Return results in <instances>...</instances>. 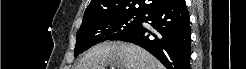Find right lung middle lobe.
Listing matches in <instances>:
<instances>
[{"label": "right lung middle lobe", "instance_id": "right-lung-middle-lobe-1", "mask_svg": "<svg viewBox=\"0 0 246 69\" xmlns=\"http://www.w3.org/2000/svg\"><path fill=\"white\" fill-rule=\"evenodd\" d=\"M141 20L142 14H121L82 22L77 33L74 56L100 42L118 40L137 28Z\"/></svg>", "mask_w": 246, "mask_h": 69}]
</instances>
